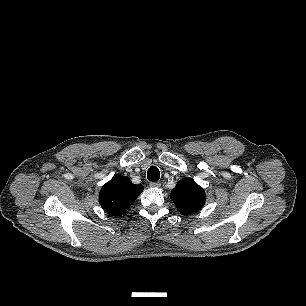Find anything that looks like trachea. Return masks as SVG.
I'll return each mask as SVG.
<instances>
[{
	"mask_svg": "<svg viewBox=\"0 0 306 306\" xmlns=\"http://www.w3.org/2000/svg\"><path fill=\"white\" fill-rule=\"evenodd\" d=\"M147 178L149 181L156 182L160 178V171L157 167L151 166L147 172Z\"/></svg>",
	"mask_w": 306,
	"mask_h": 306,
	"instance_id": "trachea-1",
	"label": "trachea"
}]
</instances>
